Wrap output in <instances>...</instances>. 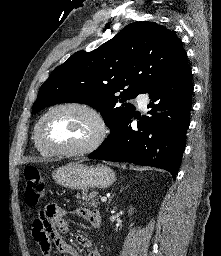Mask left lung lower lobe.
I'll return each instance as SVG.
<instances>
[{"label": "left lung lower lobe", "mask_w": 221, "mask_h": 256, "mask_svg": "<svg viewBox=\"0 0 221 256\" xmlns=\"http://www.w3.org/2000/svg\"><path fill=\"white\" fill-rule=\"evenodd\" d=\"M191 69L186 64L150 91L148 108L151 117L138 118L137 130L132 118L112 130L99 148L88 155L91 159L130 162L158 167L176 177L185 149L186 131L192 107Z\"/></svg>", "instance_id": "left-lung-lower-lobe-1"}]
</instances>
